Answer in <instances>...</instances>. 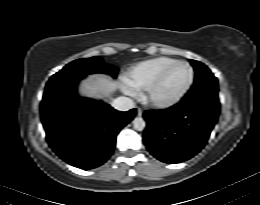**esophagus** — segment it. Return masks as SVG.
<instances>
[{"label": "esophagus", "instance_id": "obj_1", "mask_svg": "<svg viewBox=\"0 0 260 205\" xmlns=\"http://www.w3.org/2000/svg\"><path fill=\"white\" fill-rule=\"evenodd\" d=\"M137 115H138V116H142V110H141V108H138V109H137Z\"/></svg>", "mask_w": 260, "mask_h": 205}]
</instances>
